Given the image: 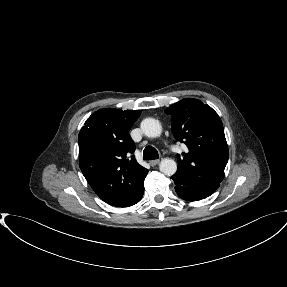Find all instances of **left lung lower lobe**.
<instances>
[{
	"label": "left lung lower lobe",
	"mask_w": 287,
	"mask_h": 287,
	"mask_svg": "<svg viewBox=\"0 0 287 287\" xmlns=\"http://www.w3.org/2000/svg\"><path fill=\"white\" fill-rule=\"evenodd\" d=\"M177 195L187 201H198L212 195L219 186H187L172 178Z\"/></svg>",
	"instance_id": "left-lung-lower-lobe-1"
}]
</instances>
